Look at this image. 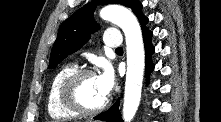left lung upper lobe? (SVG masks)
Returning <instances> with one entry per match:
<instances>
[{
  "label": "left lung upper lobe",
  "mask_w": 221,
  "mask_h": 122,
  "mask_svg": "<svg viewBox=\"0 0 221 122\" xmlns=\"http://www.w3.org/2000/svg\"><path fill=\"white\" fill-rule=\"evenodd\" d=\"M121 4L133 8L138 0H95L86 4L59 27L58 36L51 51L49 69L55 68L69 54L77 51L90 38V34L97 29L93 19L95 3Z\"/></svg>",
  "instance_id": "5c2ea615"
}]
</instances>
